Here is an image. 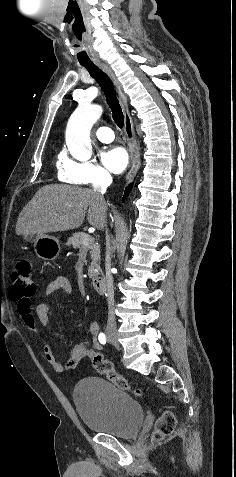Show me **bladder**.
Wrapping results in <instances>:
<instances>
[{
	"label": "bladder",
	"instance_id": "obj_1",
	"mask_svg": "<svg viewBox=\"0 0 236 477\" xmlns=\"http://www.w3.org/2000/svg\"><path fill=\"white\" fill-rule=\"evenodd\" d=\"M73 399L83 424L93 432L128 438L142 427V405L106 379H83L75 386Z\"/></svg>",
	"mask_w": 236,
	"mask_h": 477
}]
</instances>
